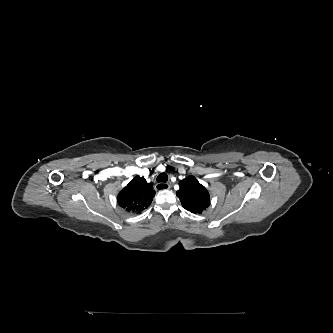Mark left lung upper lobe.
<instances>
[{
  "instance_id": "5c2ea615",
  "label": "left lung upper lobe",
  "mask_w": 333,
  "mask_h": 333,
  "mask_svg": "<svg viewBox=\"0 0 333 333\" xmlns=\"http://www.w3.org/2000/svg\"><path fill=\"white\" fill-rule=\"evenodd\" d=\"M177 191L182 206L193 213H202L210 205V196L194 176H189L179 182Z\"/></svg>"
}]
</instances>
